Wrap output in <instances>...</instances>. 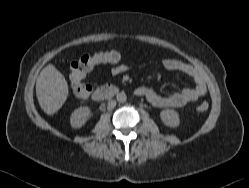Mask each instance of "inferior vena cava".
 <instances>
[{
  "label": "inferior vena cava",
  "instance_id": "602c4592",
  "mask_svg": "<svg viewBox=\"0 0 249 188\" xmlns=\"http://www.w3.org/2000/svg\"><path fill=\"white\" fill-rule=\"evenodd\" d=\"M116 106V101L115 100H109L107 104V109L112 110Z\"/></svg>",
  "mask_w": 249,
  "mask_h": 188
}]
</instances>
